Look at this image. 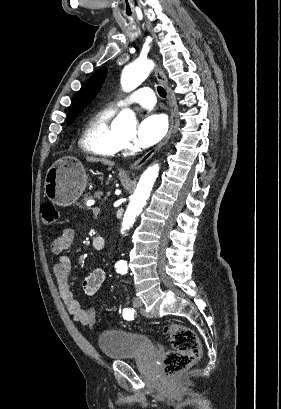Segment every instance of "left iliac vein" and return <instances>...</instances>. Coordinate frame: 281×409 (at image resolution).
<instances>
[{
	"instance_id": "4c4485c4",
	"label": "left iliac vein",
	"mask_w": 281,
	"mask_h": 409,
	"mask_svg": "<svg viewBox=\"0 0 281 409\" xmlns=\"http://www.w3.org/2000/svg\"><path fill=\"white\" fill-rule=\"evenodd\" d=\"M142 300L139 297H134L133 299V306L139 308L142 306Z\"/></svg>"
}]
</instances>
